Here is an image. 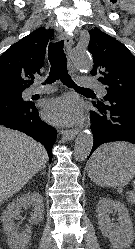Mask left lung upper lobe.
I'll return each mask as SVG.
<instances>
[{
    "label": "left lung upper lobe",
    "mask_w": 135,
    "mask_h": 249,
    "mask_svg": "<svg viewBox=\"0 0 135 249\" xmlns=\"http://www.w3.org/2000/svg\"><path fill=\"white\" fill-rule=\"evenodd\" d=\"M89 52L93 55V76L106 86L108 97L135 99V57L129 49L98 28L89 31ZM102 101V100H101Z\"/></svg>",
    "instance_id": "left-lung-upper-lobe-1"
}]
</instances>
